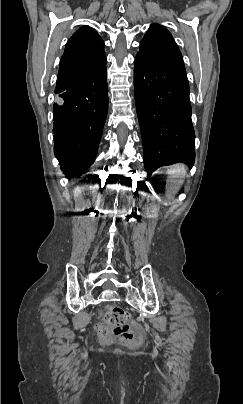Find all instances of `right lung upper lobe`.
Returning <instances> with one entry per match:
<instances>
[{"label": "right lung upper lobe", "mask_w": 243, "mask_h": 404, "mask_svg": "<svg viewBox=\"0 0 243 404\" xmlns=\"http://www.w3.org/2000/svg\"><path fill=\"white\" fill-rule=\"evenodd\" d=\"M105 65L103 40L94 29L82 26L66 44L60 61L55 92L94 75Z\"/></svg>", "instance_id": "right-lung-upper-lobe-1"}]
</instances>
